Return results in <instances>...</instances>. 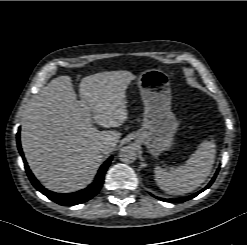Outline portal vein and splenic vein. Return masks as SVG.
<instances>
[{"instance_id":"obj_1","label":"portal vein and splenic vein","mask_w":247,"mask_h":245,"mask_svg":"<svg viewBox=\"0 0 247 245\" xmlns=\"http://www.w3.org/2000/svg\"><path fill=\"white\" fill-rule=\"evenodd\" d=\"M81 106L83 107L82 110H83L84 116L86 117L85 118L86 122L88 124L91 123L89 108L87 106H85L84 102H82Z\"/></svg>"}]
</instances>
